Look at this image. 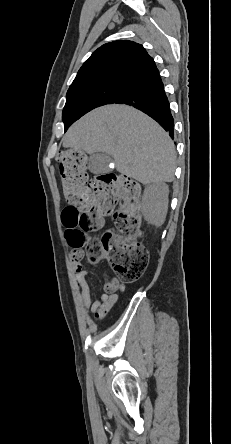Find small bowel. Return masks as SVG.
Returning <instances> with one entry per match:
<instances>
[{"label":"small bowel","mask_w":231,"mask_h":444,"mask_svg":"<svg viewBox=\"0 0 231 444\" xmlns=\"http://www.w3.org/2000/svg\"><path fill=\"white\" fill-rule=\"evenodd\" d=\"M66 240L70 246L74 248L72 253V261L76 274V282L81 293L82 305L85 309L91 310L96 319H103L111 308L118 302V297L115 294H101L92 300L90 284L87 280L88 272L83 268L82 258L83 253L80 247L83 245L85 234H81L75 230H65Z\"/></svg>","instance_id":"small-bowel-1"}]
</instances>
